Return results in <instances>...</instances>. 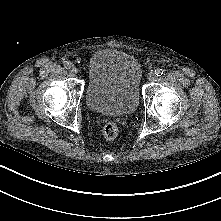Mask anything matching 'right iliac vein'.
<instances>
[{
    "label": "right iliac vein",
    "instance_id": "right-iliac-vein-1",
    "mask_svg": "<svg viewBox=\"0 0 221 221\" xmlns=\"http://www.w3.org/2000/svg\"><path fill=\"white\" fill-rule=\"evenodd\" d=\"M70 71H71L72 74H77V73H78V68L75 67V66H72V67L70 68Z\"/></svg>",
    "mask_w": 221,
    "mask_h": 221
}]
</instances>
